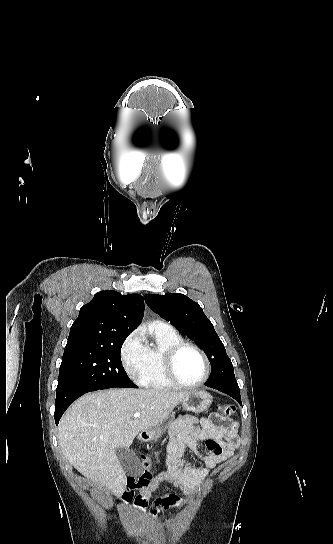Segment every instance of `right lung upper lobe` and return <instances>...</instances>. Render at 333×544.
Listing matches in <instances>:
<instances>
[{
    "mask_svg": "<svg viewBox=\"0 0 333 544\" xmlns=\"http://www.w3.org/2000/svg\"><path fill=\"white\" fill-rule=\"evenodd\" d=\"M144 315V300L139 294L121 295L116 291L98 292L82 306L70 329L65 349L86 345H105L128 336Z\"/></svg>",
    "mask_w": 333,
    "mask_h": 544,
    "instance_id": "1",
    "label": "right lung upper lobe"
}]
</instances>
